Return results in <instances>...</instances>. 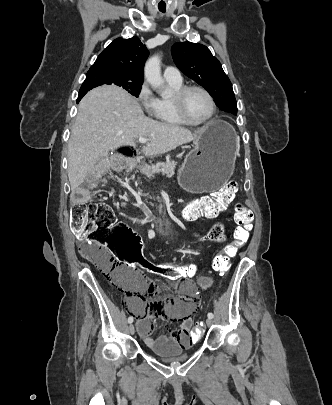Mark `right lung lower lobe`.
<instances>
[{
  "mask_svg": "<svg viewBox=\"0 0 332 405\" xmlns=\"http://www.w3.org/2000/svg\"><path fill=\"white\" fill-rule=\"evenodd\" d=\"M87 93V91H85V92H82V93H79V96H78V99H77V102H79L80 100H81V98L85 95Z\"/></svg>",
  "mask_w": 332,
  "mask_h": 405,
  "instance_id": "1",
  "label": "right lung lower lobe"
}]
</instances>
